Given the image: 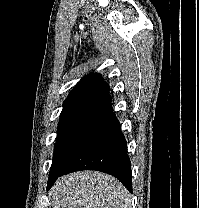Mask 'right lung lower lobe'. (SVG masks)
<instances>
[{
  "mask_svg": "<svg viewBox=\"0 0 199 208\" xmlns=\"http://www.w3.org/2000/svg\"><path fill=\"white\" fill-rule=\"evenodd\" d=\"M126 149L127 142L110 103L97 114L70 160L48 179L47 189L59 176L79 170H97L116 177L132 192L131 162Z\"/></svg>",
  "mask_w": 199,
  "mask_h": 208,
  "instance_id": "98d812e1",
  "label": "right lung lower lobe"
}]
</instances>
